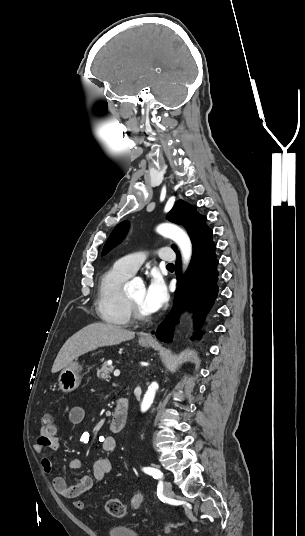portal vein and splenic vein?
Listing matches in <instances>:
<instances>
[{
	"label": "portal vein and splenic vein",
	"instance_id": "1",
	"mask_svg": "<svg viewBox=\"0 0 305 536\" xmlns=\"http://www.w3.org/2000/svg\"><path fill=\"white\" fill-rule=\"evenodd\" d=\"M114 376H120V370H115Z\"/></svg>",
	"mask_w": 305,
	"mask_h": 536
}]
</instances>
